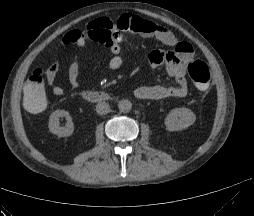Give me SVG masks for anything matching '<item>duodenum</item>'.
Masks as SVG:
<instances>
[{
    "instance_id": "obj_1",
    "label": "duodenum",
    "mask_w": 254,
    "mask_h": 216,
    "mask_svg": "<svg viewBox=\"0 0 254 216\" xmlns=\"http://www.w3.org/2000/svg\"><path fill=\"white\" fill-rule=\"evenodd\" d=\"M83 96L85 99L91 102L104 101L110 98V96L107 93L96 90H88L84 92Z\"/></svg>"
}]
</instances>
